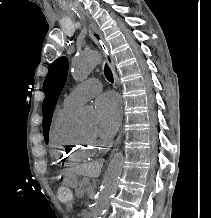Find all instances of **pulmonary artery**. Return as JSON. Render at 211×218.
I'll return each instance as SVG.
<instances>
[{"label": "pulmonary artery", "mask_w": 211, "mask_h": 218, "mask_svg": "<svg viewBox=\"0 0 211 218\" xmlns=\"http://www.w3.org/2000/svg\"><path fill=\"white\" fill-rule=\"evenodd\" d=\"M102 86L97 79H90L73 89L63 101V107L78 108L100 92Z\"/></svg>", "instance_id": "e3ab8cb5"}]
</instances>
